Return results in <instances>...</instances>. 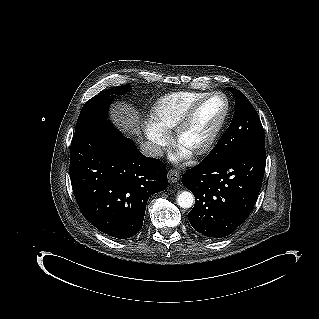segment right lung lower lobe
Listing matches in <instances>:
<instances>
[{"mask_svg":"<svg viewBox=\"0 0 319 319\" xmlns=\"http://www.w3.org/2000/svg\"><path fill=\"white\" fill-rule=\"evenodd\" d=\"M70 156L71 184L85 218L114 238L137 234L148 198L168 186L165 166L107 120L75 131Z\"/></svg>","mask_w":319,"mask_h":319,"instance_id":"1","label":"right lung lower lobe"}]
</instances>
